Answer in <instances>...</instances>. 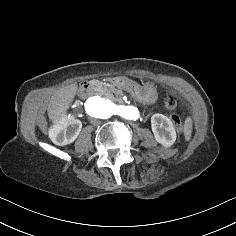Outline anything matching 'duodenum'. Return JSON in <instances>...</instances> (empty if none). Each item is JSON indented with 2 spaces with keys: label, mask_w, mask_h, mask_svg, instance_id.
Here are the masks:
<instances>
[{
  "label": "duodenum",
  "mask_w": 236,
  "mask_h": 236,
  "mask_svg": "<svg viewBox=\"0 0 236 236\" xmlns=\"http://www.w3.org/2000/svg\"><path fill=\"white\" fill-rule=\"evenodd\" d=\"M106 81L110 84H120V83H122V78L117 77V76L116 77H110V78H107ZM93 86H94L93 82H90V81L84 82L80 86V89H79L80 95L82 97L88 96L89 93L91 92Z\"/></svg>",
  "instance_id": "obj_1"
}]
</instances>
